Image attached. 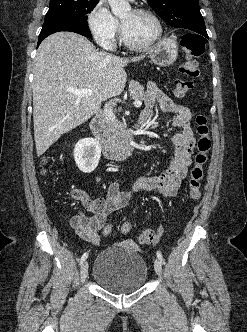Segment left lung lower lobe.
<instances>
[{"instance_id": "obj_1", "label": "left lung lower lobe", "mask_w": 247, "mask_h": 332, "mask_svg": "<svg viewBox=\"0 0 247 332\" xmlns=\"http://www.w3.org/2000/svg\"><path fill=\"white\" fill-rule=\"evenodd\" d=\"M203 36H205L206 38H208V35H207V32L206 31H203Z\"/></svg>"}]
</instances>
